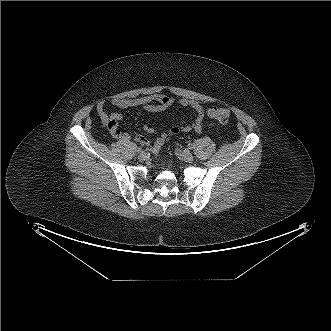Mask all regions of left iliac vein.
Returning a JSON list of instances; mask_svg holds the SVG:
<instances>
[{
  "label": "left iliac vein",
  "mask_w": 331,
  "mask_h": 331,
  "mask_svg": "<svg viewBox=\"0 0 331 331\" xmlns=\"http://www.w3.org/2000/svg\"><path fill=\"white\" fill-rule=\"evenodd\" d=\"M176 155L178 156V158H180L181 160L185 161V162H191L193 161V155L188 152V151H181L179 149H177L175 151Z\"/></svg>",
  "instance_id": "4c4485c4"
}]
</instances>
